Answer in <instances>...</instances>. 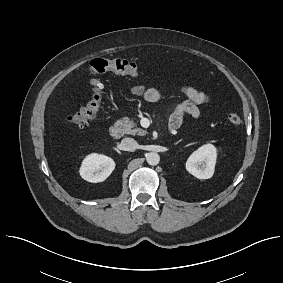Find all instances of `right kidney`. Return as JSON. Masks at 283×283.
I'll list each match as a JSON object with an SVG mask.
<instances>
[{"label": "right kidney", "instance_id": "ca27d5eb", "mask_svg": "<svg viewBox=\"0 0 283 283\" xmlns=\"http://www.w3.org/2000/svg\"><path fill=\"white\" fill-rule=\"evenodd\" d=\"M115 169V162L110 157L99 154L88 155L80 168L81 177L91 183L102 182Z\"/></svg>", "mask_w": 283, "mask_h": 283}]
</instances>
